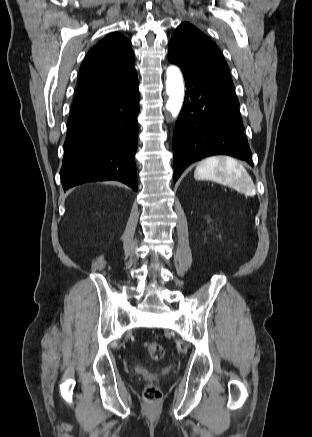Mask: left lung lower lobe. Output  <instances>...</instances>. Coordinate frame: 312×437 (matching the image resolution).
Instances as JSON below:
<instances>
[{"label":"left lung lower lobe","mask_w":312,"mask_h":437,"mask_svg":"<svg viewBox=\"0 0 312 437\" xmlns=\"http://www.w3.org/2000/svg\"><path fill=\"white\" fill-rule=\"evenodd\" d=\"M182 72L187 91L173 134L174 182L187 165L207 156L229 155L253 166L238 100Z\"/></svg>","instance_id":"0a47b994"}]
</instances>
